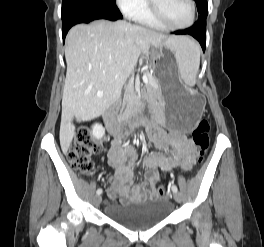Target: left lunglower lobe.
I'll list each match as a JSON object with an SVG mask.
<instances>
[{
	"mask_svg": "<svg viewBox=\"0 0 264 247\" xmlns=\"http://www.w3.org/2000/svg\"><path fill=\"white\" fill-rule=\"evenodd\" d=\"M173 33L177 35L188 34V35L193 36L200 42L203 51H205V47H206V21L205 20L198 19V21L192 27L185 29V30H178Z\"/></svg>",
	"mask_w": 264,
	"mask_h": 247,
	"instance_id": "left-lung-lower-lobe-1",
	"label": "left lung lower lobe"
}]
</instances>
